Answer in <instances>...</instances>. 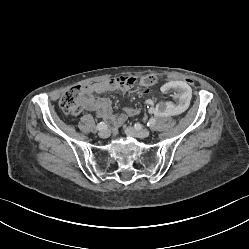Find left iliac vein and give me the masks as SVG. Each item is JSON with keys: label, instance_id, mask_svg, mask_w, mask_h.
Wrapping results in <instances>:
<instances>
[{"label": "left iliac vein", "instance_id": "obj_1", "mask_svg": "<svg viewBox=\"0 0 249 249\" xmlns=\"http://www.w3.org/2000/svg\"><path fill=\"white\" fill-rule=\"evenodd\" d=\"M125 133L129 136L138 137V138H146L150 135L149 129L135 130L132 127H125Z\"/></svg>", "mask_w": 249, "mask_h": 249}]
</instances>
